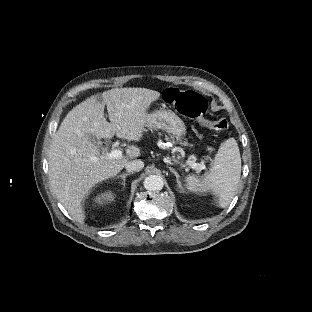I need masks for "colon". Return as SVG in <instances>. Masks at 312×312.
Masks as SVG:
<instances>
[{"label": "colon", "mask_w": 312, "mask_h": 312, "mask_svg": "<svg viewBox=\"0 0 312 312\" xmlns=\"http://www.w3.org/2000/svg\"><path fill=\"white\" fill-rule=\"evenodd\" d=\"M165 102L207 129L216 131L228 129V122L223 118L205 119L203 117L207 110V102L199 93L171 88L166 92Z\"/></svg>", "instance_id": "obj_1"}]
</instances>
